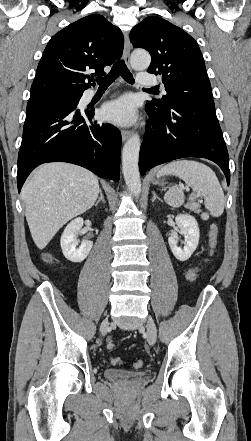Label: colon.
<instances>
[{
  "mask_svg": "<svg viewBox=\"0 0 251 441\" xmlns=\"http://www.w3.org/2000/svg\"><path fill=\"white\" fill-rule=\"evenodd\" d=\"M218 234H219V230H218L217 225H215V224L211 225L210 230H209V235H208L209 236V253L210 254H213V252H214V250H215V248L217 246ZM51 258H52L51 255L48 254V253L44 255V260L47 261V262L51 261ZM196 272H197L196 269H193V270H191L189 272V274H188V280L189 281H193L194 280V278L196 276ZM114 348H115V343L113 341H109L107 343V349L108 350H113ZM111 363L113 365H120L121 364V359L119 357H114V358L111 359ZM143 365H144V363H143L142 360H138V361H136L134 363V367L136 369L142 368Z\"/></svg>",
  "mask_w": 251,
  "mask_h": 441,
  "instance_id": "5ec220e1",
  "label": "colon"
}]
</instances>
